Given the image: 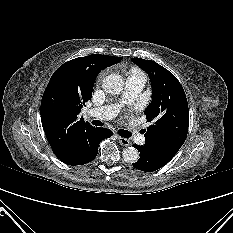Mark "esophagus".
Listing matches in <instances>:
<instances>
[{
  "mask_svg": "<svg viewBox=\"0 0 233 233\" xmlns=\"http://www.w3.org/2000/svg\"><path fill=\"white\" fill-rule=\"evenodd\" d=\"M118 141L123 146H129L131 144L130 140L124 137H118Z\"/></svg>",
  "mask_w": 233,
  "mask_h": 233,
  "instance_id": "34e87169",
  "label": "esophagus"
}]
</instances>
